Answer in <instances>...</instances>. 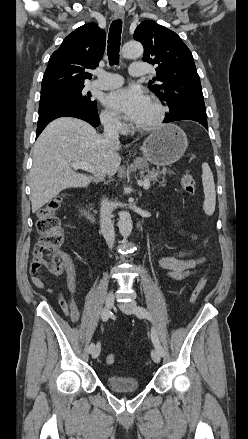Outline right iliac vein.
Listing matches in <instances>:
<instances>
[{
    "label": "right iliac vein",
    "mask_w": 248,
    "mask_h": 439,
    "mask_svg": "<svg viewBox=\"0 0 248 439\" xmlns=\"http://www.w3.org/2000/svg\"><path fill=\"white\" fill-rule=\"evenodd\" d=\"M113 306H114V295L113 293L110 292L106 297V307L110 310L113 308ZM100 350H101L100 345L95 346L91 352V357L93 359H96L100 354Z\"/></svg>",
    "instance_id": "1"
}]
</instances>
